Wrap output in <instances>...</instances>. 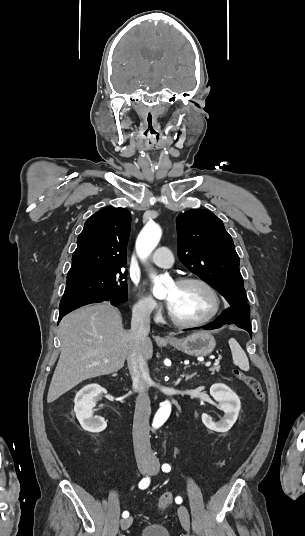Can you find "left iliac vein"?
<instances>
[{
    "label": "left iliac vein",
    "mask_w": 305,
    "mask_h": 536,
    "mask_svg": "<svg viewBox=\"0 0 305 536\" xmlns=\"http://www.w3.org/2000/svg\"><path fill=\"white\" fill-rule=\"evenodd\" d=\"M159 467L157 464L153 465L151 469L149 470V473L154 475L158 472ZM180 522L185 529V531L189 532L190 530V516L188 513V510L185 506H179L177 510Z\"/></svg>",
    "instance_id": "left-iliac-vein-1"
}]
</instances>
